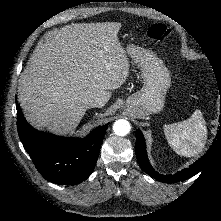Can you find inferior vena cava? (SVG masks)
I'll return each mask as SVG.
<instances>
[{"instance_id": "602c4592", "label": "inferior vena cava", "mask_w": 221, "mask_h": 221, "mask_svg": "<svg viewBox=\"0 0 221 221\" xmlns=\"http://www.w3.org/2000/svg\"><path fill=\"white\" fill-rule=\"evenodd\" d=\"M86 106L87 108H91V107H102L104 106V103L99 100V99H94V100H89L87 103H86Z\"/></svg>"}]
</instances>
